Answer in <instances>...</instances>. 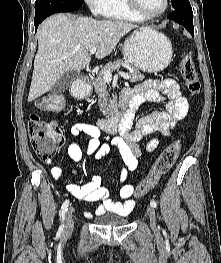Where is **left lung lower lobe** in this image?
<instances>
[{"label": "left lung lower lobe", "mask_w": 221, "mask_h": 263, "mask_svg": "<svg viewBox=\"0 0 221 263\" xmlns=\"http://www.w3.org/2000/svg\"><path fill=\"white\" fill-rule=\"evenodd\" d=\"M168 18L183 25L187 31L194 36L193 12L190 5L176 8L175 11L168 15Z\"/></svg>", "instance_id": "obj_1"}]
</instances>
